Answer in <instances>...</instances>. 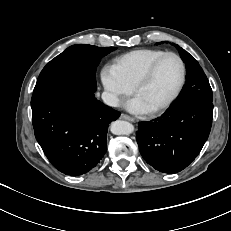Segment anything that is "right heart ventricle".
<instances>
[{
    "instance_id": "obj_1",
    "label": "right heart ventricle",
    "mask_w": 231,
    "mask_h": 231,
    "mask_svg": "<svg viewBox=\"0 0 231 231\" xmlns=\"http://www.w3.org/2000/svg\"><path fill=\"white\" fill-rule=\"evenodd\" d=\"M165 51L160 49H137L117 57L112 67L122 80L133 87L146 68Z\"/></svg>"
}]
</instances>
